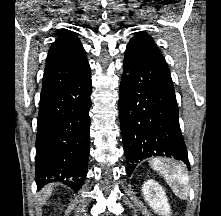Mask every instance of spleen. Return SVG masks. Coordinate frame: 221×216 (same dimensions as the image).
<instances>
[{
	"label": "spleen",
	"instance_id": "1",
	"mask_svg": "<svg viewBox=\"0 0 221 216\" xmlns=\"http://www.w3.org/2000/svg\"><path fill=\"white\" fill-rule=\"evenodd\" d=\"M153 170L160 173L173 193L180 199H187L189 194V177L186 166L172 160L154 158L150 161Z\"/></svg>",
	"mask_w": 221,
	"mask_h": 216
}]
</instances>
